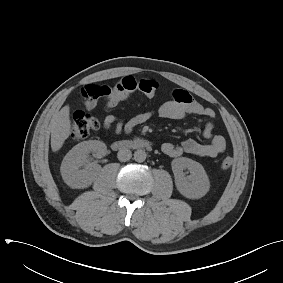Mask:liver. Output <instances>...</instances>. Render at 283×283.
I'll use <instances>...</instances> for the list:
<instances>
[{
	"label": "liver",
	"instance_id": "obj_1",
	"mask_svg": "<svg viewBox=\"0 0 283 283\" xmlns=\"http://www.w3.org/2000/svg\"><path fill=\"white\" fill-rule=\"evenodd\" d=\"M71 133L70 107L64 106L51 120V148L57 152Z\"/></svg>",
	"mask_w": 283,
	"mask_h": 283
}]
</instances>
